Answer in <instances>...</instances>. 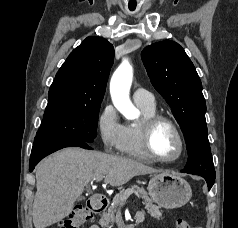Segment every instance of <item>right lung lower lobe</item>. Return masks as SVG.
Here are the masks:
<instances>
[{
    "mask_svg": "<svg viewBox=\"0 0 238 228\" xmlns=\"http://www.w3.org/2000/svg\"><path fill=\"white\" fill-rule=\"evenodd\" d=\"M77 146L84 149H92L88 146L87 142L80 140H61V141H47V142H35L33 144L30 163H29V171L32 172L37 163L46 157L47 155L60 150L65 147Z\"/></svg>",
    "mask_w": 238,
    "mask_h": 228,
    "instance_id": "98d812e1",
    "label": "right lung lower lobe"
}]
</instances>
